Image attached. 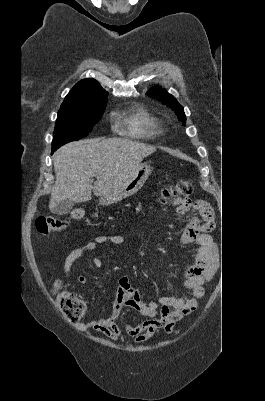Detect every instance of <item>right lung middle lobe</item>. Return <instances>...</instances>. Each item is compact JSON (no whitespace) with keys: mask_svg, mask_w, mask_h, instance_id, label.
<instances>
[{"mask_svg":"<svg viewBox=\"0 0 265 401\" xmlns=\"http://www.w3.org/2000/svg\"><path fill=\"white\" fill-rule=\"evenodd\" d=\"M106 103L107 99L61 106L55 123L52 150L87 136L102 117Z\"/></svg>","mask_w":265,"mask_h":401,"instance_id":"dd1d6c3e","label":"right lung middle lobe"}]
</instances>
